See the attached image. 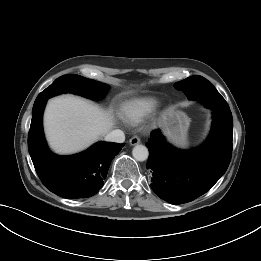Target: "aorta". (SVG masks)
<instances>
[{
	"label": "aorta",
	"instance_id": "aorta-1",
	"mask_svg": "<svg viewBox=\"0 0 261 261\" xmlns=\"http://www.w3.org/2000/svg\"><path fill=\"white\" fill-rule=\"evenodd\" d=\"M132 155L137 161H145L148 158V149L144 145H136L132 150Z\"/></svg>",
	"mask_w": 261,
	"mask_h": 261
}]
</instances>
